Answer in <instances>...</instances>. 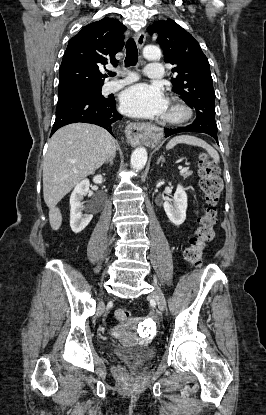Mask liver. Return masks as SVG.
I'll use <instances>...</instances> for the list:
<instances>
[{
	"mask_svg": "<svg viewBox=\"0 0 266 415\" xmlns=\"http://www.w3.org/2000/svg\"><path fill=\"white\" fill-rule=\"evenodd\" d=\"M115 154V139L97 125L73 123L54 133L43 161V195L53 230L62 224L57 203Z\"/></svg>",
	"mask_w": 266,
	"mask_h": 415,
	"instance_id": "liver-1",
	"label": "liver"
}]
</instances>
